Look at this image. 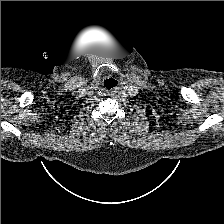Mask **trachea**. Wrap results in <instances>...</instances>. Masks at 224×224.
Masks as SVG:
<instances>
[{"mask_svg":"<svg viewBox=\"0 0 224 224\" xmlns=\"http://www.w3.org/2000/svg\"><path fill=\"white\" fill-rule=\"evenodd\" d=\"M117 84H118V82L112 77L104 80V87L108 90L116 87Z\"/></svg>","mask_w":224,"mask_h":224,"instance_id":"3493384b","label":"trachea"}]
</instances>
